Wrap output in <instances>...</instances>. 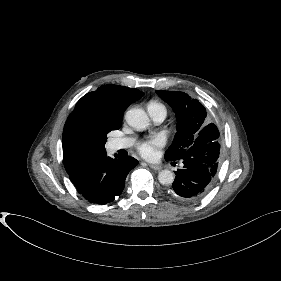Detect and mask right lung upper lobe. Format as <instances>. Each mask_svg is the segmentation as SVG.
I'll return each instance as SVG.
<instances>
[{"label":"right lung upper lobe","instance_id":"1","mask_svg":"<svg viewBox=\"0 0 281 281\" xmlns=\"http://www.w3.org/2000/svg\"><path fill=\"white\" fill-rule=\"evenodd\" d=\"M143 95L144 93L138 89L119 85H103L96 91L83 96L76 105L89 104L110 120L121 123L122 114L127 107ZM63 162L68 174L84 163H72L64 156Z\"/></svg>","mask_w":281,"mask_h":281}]
</instances>
